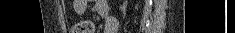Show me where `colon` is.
Wrapping results in <instances>:
<instances>
[{
  "label": "colon",
  "mask_w": 235,
  "mask_h": 33,
  "mask_svg": "<svg viewBox=\"0 0 235 33\" xmlns=\"http://www.w3.org/2000/svg\"><path fill=\"white\" fill-rule=\"evenodd\" d=\"M93 24L88 20H79L72 26V33H93Z\"/></svg>",
  "instance_id": "5ec220e1"
}]
</instances>
